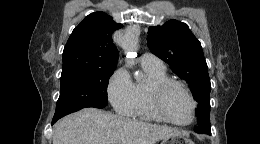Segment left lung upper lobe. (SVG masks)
Wrapping results in <instances>:
<instances>
[{"label":"left lung upper lobe","instance_id":"1","mask_svg":"<svg viewBox=\"0 0 260 144\" xmlns=\"http://www.w3.org/2000/svg\"><path fill=\"white\" fill-rule=\"evenodd\" d=\"M147 44L153 54L169 64L178 77L189 83L190 90L199 103L196 110L198 126L195 131L211 133V84L201 43L187 24L169 20L162 26L149 28Z\"/></svg>","mask_w":260,"mask_h":144}]
</instances>
